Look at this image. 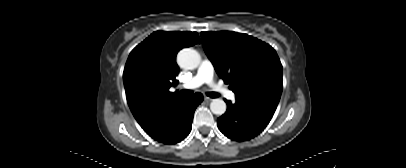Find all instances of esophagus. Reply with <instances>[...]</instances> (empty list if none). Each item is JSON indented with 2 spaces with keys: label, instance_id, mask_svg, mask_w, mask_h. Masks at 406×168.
<instances>
[{
  "label": "esophagus",
  "instance_id": "esophagus-1",
  "mask_svg": "<svg viewBox=\"0 0 406 168\" xmlns=\"http://www.w3.org/2000/svg\"><path fill=\"white\" fill-rule=\"evenodd\" d=\"M204 99H205L206 101H212V100H213L212 98L207 97V96H205Z\"/></svg>",
  "mask_w": 406,
  "mask_h": 168
}]
</instances>
